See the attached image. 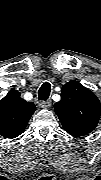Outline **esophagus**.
Segmentation results:
<instances>
[{
  "label": "esophagus",
  "mask_w": 101,
  "mask_h": 180,
  "mask_svg": "<svg viewBox=\"0 0 101 180\" xmlns=\"http://www.w3.org/2000/svg\"><path fill=\"white\" fill-rule=\"evenodd\" d=\"M52 105L51 100L42 101L40 106L44 109L50 108Z\"/></svg>",
  "instance_id": "obj_1"
}]
</instances>
